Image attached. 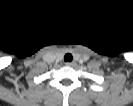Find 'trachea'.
<instances>
[{
    "mask_svg": "<svg viewBox=\"0 0 133 106\" xmlns=\"http://www.w3.org/2000/svg\"><path fill=\"white\" fill-rule=\"evenodd\" d=\"M73 59V56L70 54V53H67L65 56H64V61L66 62H71Z\"/></svg>",
    "mask_w": 133,
    "mask_h": 106,
    "instance_id": "1",
    "label": "trachea"
}]
</instances>
